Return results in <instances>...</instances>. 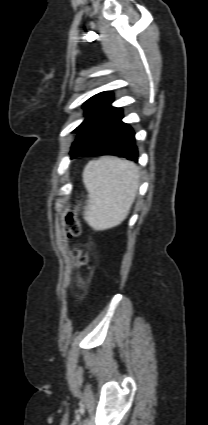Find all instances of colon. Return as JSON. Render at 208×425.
<instances>
[{
    "label": "colon",
    "instance_id": "5ec220e1",
    "mask_svg": "<svg viewBox=\"0 0 208 425\" xmlns=\"http://www.w3.org/2000/svg\"><path fill=\"white\" fill-rule=\"evenodd\" d=\"M66 223V234L68 237H78L81 235L82 226L79 219V215L77 210L71 211L66 215L65 219ZM88 262V253L84 249H77V257H76V266L77 268H81L85 266ZM79 294L78 299L80 301H85L87 298V282L86 280L78 276L77 277Z\"/></svg>",
    "mask_w": 208,
    "mask_h": 425
}]
</instances>
